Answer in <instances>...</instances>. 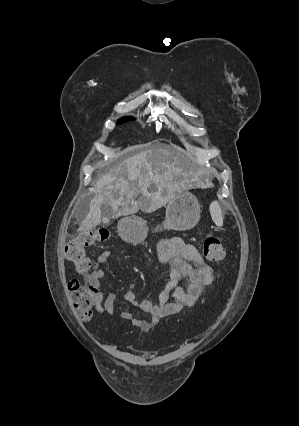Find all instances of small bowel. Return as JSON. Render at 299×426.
<instances>
[{
	"mask_svg": "<svg viewBox=\"0 0 299 426\" xmlns=\"http://www.w3.org/2000/svg\"><path fill=\"white\" fill-rule=\"evenodd\" d=\"M159 261L169 267L168 281L159 294V301L154 304L150 300L139 301L133 289L124 294V299L134 308L149 315V318H135L130 310L120 313V318L134 327L147 332L167 316L178 314L185 307L193 306L199 299L203 289L214 279L213 268L205 261L199 250L192 244L186 243L178 236L163 237L157 244ZM112 255L110 250H104L97 258L98 265H104ZM105 276L101 268L94 269L88 275L90 286L96 291L97 310L100 313L114 316L117 295L105 293L102 280ZM187 280V297L183 302L171 301L173 291L178 288L182 279Z\"/></svg>",
	"mask_w": 299,
	"mask_h": 426,
	"instance_id": "obj_1",
	"label": "small bowel"
}]
</instances>
